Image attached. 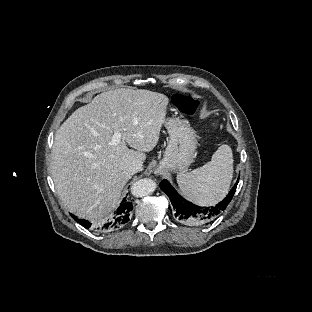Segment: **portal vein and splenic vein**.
<instances>
[{
    "label": "portal vein and splenic vein",
    "instance_id": "portal-vein-and-splenic-vein-1",
    "mask_svg": "<svg viewBox=\"0 0 312 312\" xmlns=\"http://www.w3.org/2000/svg\"><path fill=\"white\" fill-rule=\"evenodd\" d=\"M119 140H120V135L119 134H115L113 136V143L114 144H118L119 143Z\"/></svg>",
    "mask_w": 312,
    "mask_h": 312
}]
</instances>
